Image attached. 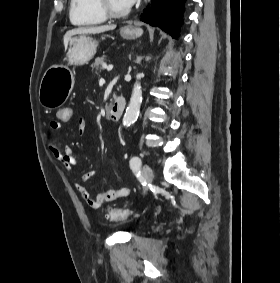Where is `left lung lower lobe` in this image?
<instances>
[{"instance_id": "1", "label": "left lung lower lobe", "mask_w": 280, "mask_h": 283, "mask_svg": "<svg viewBox=\"0 0 280 283\" xmlns=\"http://www.w3.org/2000/svg\"><path fill=\"white\" fill-rule=\"evenodd\" d=\"M184 1L152 0L149 10L143 11L140 20L177 38L182 24Z\"/></svg>"}]
</instances>
